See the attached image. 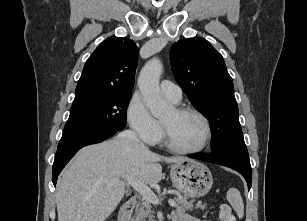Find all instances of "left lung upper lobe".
I'll use <instances>...</instances> for the list:
<instances>
[{
    "label": "left lung upper lobe",
    "instance_id": "left-lung-upper-lobe-1",
    "mask_svg": "<svg viewBox=\"0 0 307 221\" xmlns=\"http://www.w3.org/2000/svg\"><path fill=\"white\" fill-rule=\"evenodd\" d=\"M174 78L213 128L212 153L249 159L232 78L220 53L204 38H185L170 49Z\"/></svg>",
    "mask_w": 307,
    "mask_h": 221
}]
</instances>
